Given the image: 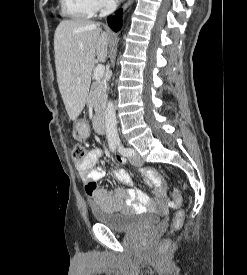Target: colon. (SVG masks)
Listing matches in <instances>:
<instances>
[{"instance_id": "colon-1", "label": "colon", "mask_w": 247, "mask_h": 275, "mask_svg": "<svg viewBox=\"0 0 247 275\" xmlns=\"http://www.w3.org/2000/svg\"><path fill=\"white\" fill-rule=\"evenodd\" d=\"M87 156L86 148L81 144H76L72 148V158L76 163H79L85 159ZM96 186L94 183H88L85 185V191L87 194L91 195L94 193ZM181 193L178 189H174L173 198L171 201V206L176 208V212L172 221V227L174 229H179L184 221L185 212L183 209L179 208L181 204Z\"/></svg>"}]
</instances>
